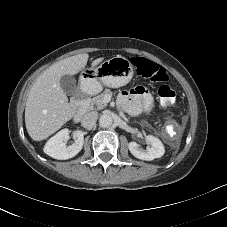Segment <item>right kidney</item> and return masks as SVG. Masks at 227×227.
<instances>
[{
  "label": "right kidney",
  "instance_id": "1",
  "mask_svg": "<svg viewBox=\"0 0 227 227\" xmlns=\"http://www.w3.org/2000/svg\"><path fill=\"white\" fill-rule=\"evenodd\" d=\"M70 131L62 129L51 137L44 146V152L52 158L66 160L76 156L82 149L84 143V134L82 131L73 133L74 143L66 146L64 141L69 139Z\"/></svg>",
  "mask_w": 227,
  "mask_h": 227
}]
</instances>
